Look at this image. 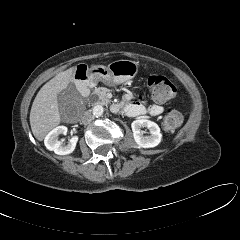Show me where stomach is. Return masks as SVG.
Masks as SVG:
<instances>
[{"label":"stomach","mask_w":240,"mask_h":240,"mask_svg":"<svg viewBox=\"0 0 240 240\" xmlns=\"http://www.w3.org/2000/svg\"><path fill=\"white\" fill-rule=\"evenodd\" d=\"M138 72V63L132 60H116L108 67L98 65L89 70V78L93 82L101 81L107 85H117L126 82Z\"/></svg>","instance_id":"stomach-1"}]
</instances>
